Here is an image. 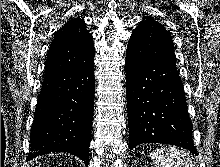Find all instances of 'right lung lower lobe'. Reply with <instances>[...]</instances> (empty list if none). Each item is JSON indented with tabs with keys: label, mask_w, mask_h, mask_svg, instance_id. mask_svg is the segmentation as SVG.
<instances>
[{
	"label": "right lung lower lobe",
	"mask_w": 220,
	"mask_h": 167,
	"mask_svg": "<svg viewBox=\"0 0 220 167\" xmlns=\"http://www.w3.org/2000/svg\"><path fill=\"white\" fill-rule=\"evenodd\" d=\"M94 89V63L45 78L34 114L27 161L51 152H66L88 165Z\"/></svg>",
	"instance_id": "obj_1"
}]
</instances>
